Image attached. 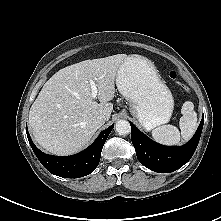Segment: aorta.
I'll list each match as a JSON object with an SVG mask.
<instances>
[{"mask_svg": "<svg viewBox=\"0 0 221 221\" xmlns=\"http://www.w3.org/2000/svg\"><path fill=\"white\" fill-rule=\"evenodd\" d=\"M115 129L119 135H127L130 133L131 126L126 120H118L115 124Z\"/></svg>", "mask_w": 221, "mask_h": 221, "instance_id": "obj_1", "label": "aorta"}]
</instances>
